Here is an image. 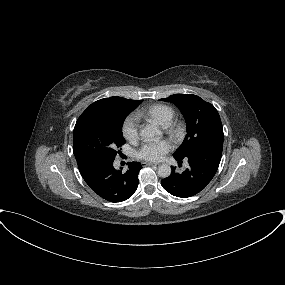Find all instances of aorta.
I'll return each mask as SVG.
<instances>
[{
  "instance_id": "aorta-1",
  "label": "aorta",
  "mask_w": 285,
  "mask_h": 285,
  "mask_svg": "<svg viewBox=\"0 0 285 285\" xmlns=\"http://www.w3.org/2000/svg\"><path fill=\"white\" fill-rule=\"evenodd\" d=\"M140 136L146 141L159 139L162 136V132L153 125H146L140 131ZM158 175L162 178H167L171 175V167L168 164H161L158 167Z\"/></svg>"
}]
</instances>
